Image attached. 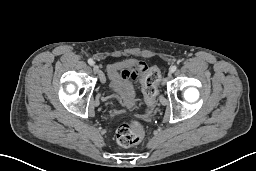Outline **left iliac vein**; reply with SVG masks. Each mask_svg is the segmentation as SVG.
Wrapping results in <instances>:
<instances>
[{
	"label": "left iliac vein",
	"instance_id": "obj_1",
	"mask_svg": "<svg viewBox=\"0 0 256 171\" xmlns=\"http://www.w3.org/2000/svg\"><path fill=\"white\" fill-rule=\"evenodd\" d=\"M172 73H173V72H172L171 69H170V71H169V77L171 76ZM169 77H168V78H169Z\"/></svg>",
	"mask_w": 256,
	"mask_h": 171
}]
</instances>
